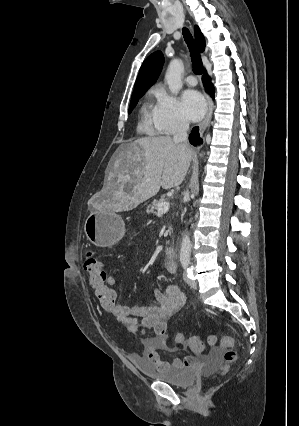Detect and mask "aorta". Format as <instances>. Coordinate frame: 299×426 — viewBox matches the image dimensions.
<instances>
[{
    "instance_id": "762f6f07",
    "label": "aorta",
    "mask_w": 299,
    "mask_h": 426,
    "mask_svg": "<svg viewBox=\"0 0 299 426\" xmlns=\"http://www.w3.org/2000/svg\"><path fill=\"white\" fill-rule=\"evenodd\" d=\"M184 65L182 60L173 59L169 63L165 74V80L168 84L169 90L172 94H177L182 88V74ZM191 254V241L188 234H185L182 239L180 249V261L189 262Z\"/></svg>"
}]
</instances>
